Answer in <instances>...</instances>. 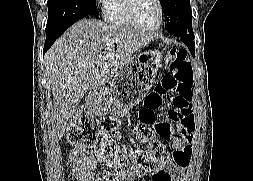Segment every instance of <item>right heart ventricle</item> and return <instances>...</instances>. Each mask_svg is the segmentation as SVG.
<instances>
[{"label":"right heart ventricle","instance_id":"right-heart-ventricle-1","mask_svg":"<svg viewBox=\"0 0 253 181\" xmlns=\"http://www.w3.org/2000/svg\"><path fill=\"white\" fill-rule=\"evenodd\" d=\"M102 13L108 24L121 28L135 27L127 14L126 0H103Z\"/></svg>","mask_w":253,"mask_h":181}]
</instances>
